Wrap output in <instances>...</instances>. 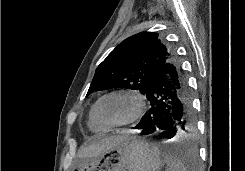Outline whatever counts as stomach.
<instances>
[{
  "label": "stomach",
  "mask_w": 245,
  "mask_h": 171,
  "mask_svg": "<svg viewBox=\"0 0 245 171\" xmlns=\"http://www.w3.org/2000/svg\"><path fill=\"white\" fill-rule=\"evenodd\" d=\"M163 166L157 146L127 135L97 157L81 159L73 171H160Z\"/></svg>",
  "instance_id": "0dacf381"
}]
</instances>
